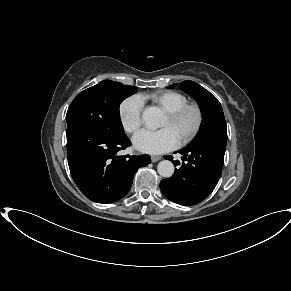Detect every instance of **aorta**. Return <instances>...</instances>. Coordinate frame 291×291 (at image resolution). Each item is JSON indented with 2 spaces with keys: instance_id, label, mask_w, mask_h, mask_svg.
I'll list each match as a JSON object with an SVG mask.
<instances>
[{
  "instance_id": "1",
  "label": "aorta",
  "mask_w": 291,
  "mask_h": 291,
  "mask_svg": "<svg viewBox=\"0 0 291 291\" xmlns=\"http://www.w3.org/2000/svg\"><path fill=\"white\" fill-rule=\"evenodd\" d=\"M161 111L157 107H148L142 113V120L147 128L157 129L160 127ZM157 171L159 175L169 178L174 173V165L169 160H162L158 163Z\"/></svg>"
}]
</instances>
